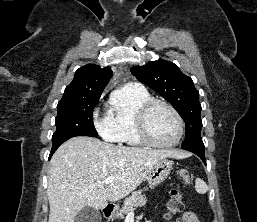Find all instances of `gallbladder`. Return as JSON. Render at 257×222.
<instances>
[{
	"instance_id": "obj_1",
	"label": "gallbladder",
	"mask_w": 257,
	"mask_h": 222,
	"mask_svg": "<svg viewBox=\"0 0 257 222\" xmlns=\"http://www.w3.org/2000/svg\"><path fill=\"white\" fill-rule=\"evenodd\" d=\"M101 220V213L98 210L87 206L79 211L74 222H101Z\"/></svg>"
}]
</instances>
